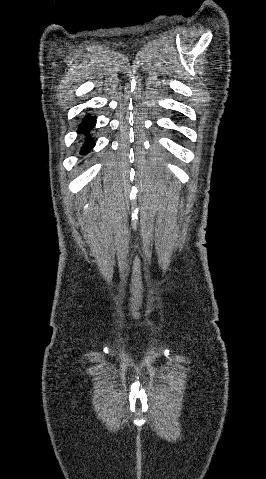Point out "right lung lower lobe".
I'll return each mask as SVG.
<instances>
[{
	"mask_svg": "<svg viewBox=\"0 0 266 479\" xmlns=\"http://www.w3.org/2000/svg\"><path fill=\"white\" fill-rule=\"evenodd\" d=\"M95 123L96 119L94 117L86 116L79 125L78 133L84 138V143L80 149V154H86L95 146V141L90 135V131L95 126Z\"/></svg>",
	"mask_w": 266,
	"mask_h": 479,
	"instance_id": "1",
	"label": "right lung lower lobe"
}]
</instances>
